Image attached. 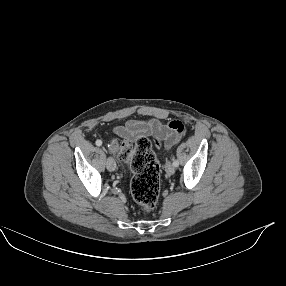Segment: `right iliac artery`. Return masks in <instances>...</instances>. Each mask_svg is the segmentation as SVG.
<instances>
[{"label": "right iliac artery", "mask_w": 286, "mask_h": 286, "mask_svg": "<svg viewBox=\"0 0 286 286\" xmlns=\"http://www.w3.org/2000/svg\"><path fill=\"white\" fill-rule=\"evenodd\" d=\"M96 145H97V146H101V145H102V141H101V140H97V141H96Z\"/></svg>", "instance_id": "right-iliac-artery-1"}]
</instances>
